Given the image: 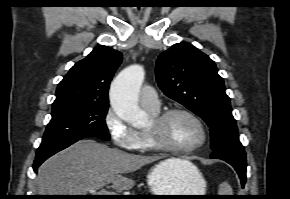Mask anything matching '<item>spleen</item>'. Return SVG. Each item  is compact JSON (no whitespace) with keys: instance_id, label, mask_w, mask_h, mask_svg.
I'll return each instance as SVG.
<instances>
[{"instance_id":"3e777b00","label":"spleen","mask_w":290,"mask_h":199,"mask_svg":"<svg viewBox=\"0 0 290 199\" xmlns=\"http://www.w3.org/2000/svg\"><path fill=\"white\" fill-rule=\"evenodd\" d=\"M219 195H233L232 188L227 182H223L219 186Z\"/></svg>"}]
</instances>
